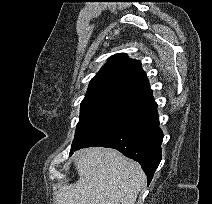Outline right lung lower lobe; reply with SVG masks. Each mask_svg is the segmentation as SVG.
Returning a JSON list of instances; mask_svg holds the SVG:
<instances>
[{
    "label": "right lung lower lobe",
    "instance_id": "98d812e1",
    "mask_svg": "<svg viewBox=\"0 0 212 204\" xmlns=\"http://www.w3.org/2000/svg\"><path fill=\"white\" fill-rule=\"evenodd\" d=\"M162 140L163 133L159 128L157 104L153 100L145 105L126 126L91 146L114 148L126 157L137 161L146 173L149 184L161 161Z\"/></svg>",
    "mask_w": 212,
    "mask_h": 204
}]
</instances>
